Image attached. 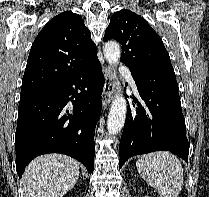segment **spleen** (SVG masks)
<instances>
[{"label": "spleen", "instance_id": "3e777b00", "mask_svg": "<svg viewBox=\"0 0 209 197\" xmlns=\"http://www.w3.org/2000/svg\"><path fill=\"white\" fill-rule=\"evenodd\" d=\"M136 168L146 182L155 188L160 197H177L184 183L183 167L170 152L159 151L141 156Z\"/></svg>", "mask_w": 209, "mask_h": 197}]
</instances>
